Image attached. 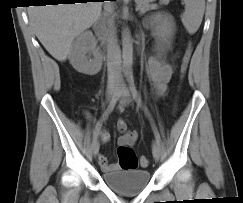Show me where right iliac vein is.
<instances>
[{
	"mask_svg": "<svg viewBox=\"0 0 243 203\" xmlns=\"http://www.w3.org/2000/svg\"><path fill=\"white\" fill-rule=\"evenodd\" d=\"M117 88L115 86H110L107 90V99L110 100L114 95H116ZM99 153V142L98 140H94L92 143V154L93 156H97Z\"/></svg>",
	"mask_w": 243,
	"mask_h": 203,
	"instance_id": "right-iliac-vein-1",
	"label": "right iliac vein"
}]
</instances>
